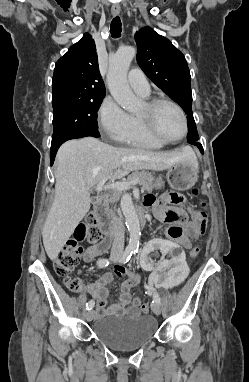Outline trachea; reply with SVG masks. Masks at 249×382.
<instances>
[{
	"instance_id": "trachea-1",
	"label": "trachea",
	"mask_w": 249,
	"mask_h": 382,
	"mask_svg": "<svg viewBox=\"0 0 249 382\" xmlns=\"http://www.w3.org/2000/svg\"><path fill=\"white\" fill-rule=\"evenodd\" d=\"M122 28L120 18L115 17L110 25V33L113 38H119L121 36Z\"/></svg>"
}]
</instances>
